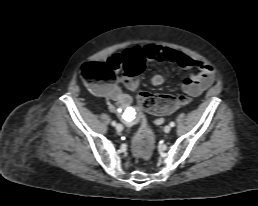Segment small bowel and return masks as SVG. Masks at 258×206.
<instances>
[{"label": "small bowel", "mask_w": 258, "mask_h": 206, "mask_svg": "<svg viewBox=\"0 0 258 206\" xmlns=\"http://www.w3.org/2000/svg\"><path fill=\"white\" fill-rule=\"evenodd\" d=\"M136 53L141 54L148 62H170L186 70L195 69L197 72L185 78L182 83V90L189 96L200 95L215 81V69L212 65L195 60L185 53L162 45L148 44L143 47H134L122 53L114 54L108 59L107 63L115 71H118L127 59ZM164 81L165 79L161 74H155L150 79L153 86H160ZM98 90L100 95L106 98L109 109L119 115L128 126H132L139 118V114L135 110H130L131 98L121 90L119 85L110 84L102 86ZM162 122V118L156 119L157 124Z\"/></svg>", "instance_id": "obj_1"}]
</instances>
